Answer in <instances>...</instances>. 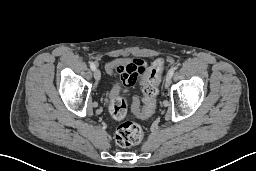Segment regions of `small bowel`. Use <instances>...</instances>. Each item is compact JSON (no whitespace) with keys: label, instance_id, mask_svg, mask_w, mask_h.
Here are the masks:
<instances>
[{"label":"small bowel","instance_id":"small-bowel-1","mask_svg":"<svg viewBox=\"0 0 256 171\" xmlns=\"http://www.w3.org/2000/svg\"><path fill=\"white\" fill-rule=\"evenodd\" d=\"M109 70L115 69L122 82L133 84L140 77L144 76L147 71V64L140 58H132L127 61H114L108 66ZM153 110L149 111L146 107L142 112L143 118L148 117Z\"/></svg>","mask_w":256,"mask_h":171}]
</instances>
